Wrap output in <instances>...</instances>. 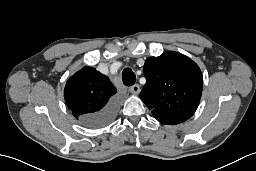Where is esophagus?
I'll use <instances>...</instances> for the list:
<instances>
[{
  "instance_id": "obj_1",
  "label": "esophagus",
  "mask_w": 256,
  "mask_h": 171,
  "mask_svg": "<svg viewBox=\"0 0 256 171\" xmlns=\"http://www.w3.org/2000/svg\"><path fill=\"white\" fill-rule=\"evenodd\" d=\"M129 91L134 94L137 95L140 92V86L138 84H135L133 86L130 87Z\"/></svg>"
}]
</instances>
